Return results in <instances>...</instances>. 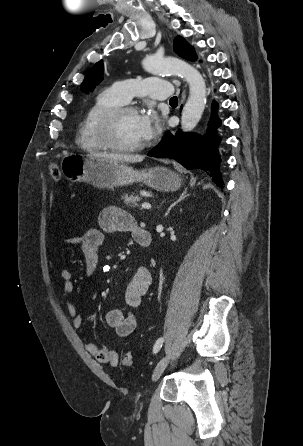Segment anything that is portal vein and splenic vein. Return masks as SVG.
I'll return each mask as SVG.
<instances>
[{
	"instance_id": "obj_1",
	"label": "portal vein and splenic vein",
	"mask_w": 303,
	"mask_h": 446,
	"mask_svg": "<svg viewBox=\"0 0 303 446\" xmlns=\"http://www.w3.org/2000/svg\"><path fill=\"white\" fill-rule=\"evenodd\" d=\"M141 207H142L143 209H150V208H151V204H149V203H147V202H144V203H142Z\"/></svg>"
}]
</instances>
